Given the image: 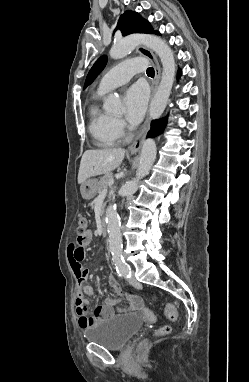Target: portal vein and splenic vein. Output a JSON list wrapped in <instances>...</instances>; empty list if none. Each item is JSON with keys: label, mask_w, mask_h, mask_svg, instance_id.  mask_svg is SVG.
I'll list each match as a JSON object with an SVG mask.
<instances>
[{"label": "portal vein and splenic vein", "mask_w": 249, "mask_h": 382, "mask_svg": "<svg viewBox=\"0 0 249 382\" xmlns=\"http://www.w3.org/2000/svg\"><path fill=\"white\" fill-rule=\"evenodd\" d=\"M113 183H114V180L112 179V180L109 181L108 185H109V186H112ZM104 191H107V189H105Z\"/></svg>", "instance_id": "obj_1"}]
</instances>
